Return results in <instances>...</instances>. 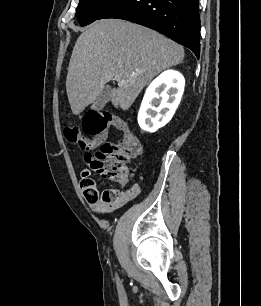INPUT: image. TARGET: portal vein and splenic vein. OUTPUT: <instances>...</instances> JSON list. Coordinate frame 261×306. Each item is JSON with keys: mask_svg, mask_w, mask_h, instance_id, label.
Segmentation results:
<instances>
[{"mask_svg": "<svg viewBox=\"0 0 261 306\" xmlns=\"http://www.w3.org/2000/svg\"><path fill=\"white\" fill-rule=\"evenodd\" d=\"M114 80H116L117 82H123L124 80L121 79V77L119 75H116L114 77Z\"/></svg>", "mask_w": 261, "mask_h": 306, "instance_id": "portal-vein-and-splenic-vein-1", "label": "portal vein and splenic vein"}]
</instances>
